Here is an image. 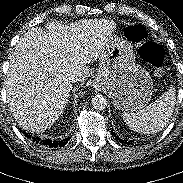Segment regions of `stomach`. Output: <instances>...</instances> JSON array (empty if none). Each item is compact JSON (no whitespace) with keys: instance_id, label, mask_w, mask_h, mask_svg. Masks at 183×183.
Segmentation results:
<instances>
[{"instance_id":"0dacf381","label":"stomach","mask_w":183,"mask_h":183,"mask_svg":"<svg viewBox=\"0 0 183 183\" xmlns=\"http://www.w3.org/2000/svg\"><path fill=\"white\" fill-rule=\"evenodd\" d=\"M95 83L106 89L114 106L133 112L144 108L152 97L153 82L149 73L136 65L131 43L111 35L99 57Z\"/></svg>"}]
</instances>
